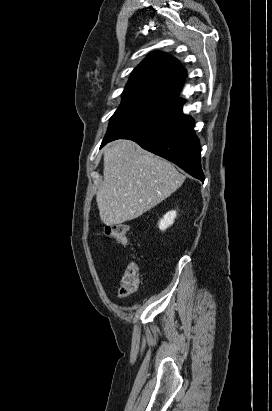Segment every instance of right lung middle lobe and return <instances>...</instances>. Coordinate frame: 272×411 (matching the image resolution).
<instances>
[{
	"label": "right lung middle lobe",
	"mask_w": 272,
	"mask_h": 411,
	"mask_svg": "<svg viewBox=\"0 0 272 411\" xmlns=\"http://www.w3.org/2000/svg\"><path fill=\"white\" fill-rule=\"evenodd\" d=\"M179 109H181L179 105L165 103L150 94L124 92L120 107L110 119L106 136L112 138L126 136Z\"/></svg>",
	"instance_id": "dd1d6c3e"
}]
</instances>
